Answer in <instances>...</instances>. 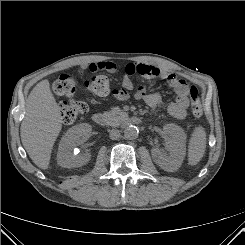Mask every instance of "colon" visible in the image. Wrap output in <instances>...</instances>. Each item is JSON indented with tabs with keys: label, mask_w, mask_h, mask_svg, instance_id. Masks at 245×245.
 I'll return each instance as SVG.
<instances>
[{
	"label": "colon",
	"mask_w": 245,
	"mask_h": 245,
	"mask_svg": "<svg viewBox=\"0 0 245 245\" xmlns=\"http://www.w3.org/2000/svg\"><path fill=\"white\" fill-rule=\"evenodd\" d=\"M77 81L73 74H62L54 83L57 95L66 99L60 104L61 117L65 124H71L87 112V104L83 101L71 99L76 90ZM85 90L91 94L104 96L111 90L110 79L106 75H97L84 83ZM192 112L196 118L202 116L200 89L196 85L190 88Z\"/></svg>",
	"instance_id": "colon-1"
}]
</instances>
